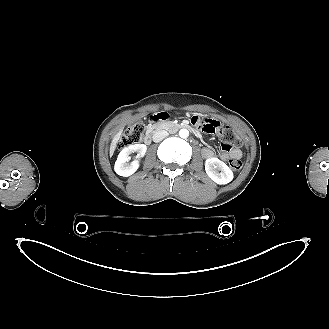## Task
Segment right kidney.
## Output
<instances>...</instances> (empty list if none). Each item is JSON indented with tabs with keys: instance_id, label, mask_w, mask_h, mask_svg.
<instances>
[{
	"instance_id": "right-kidney-1",
	"label": "right kidney",
	"mask_w": 329,
	"mask_h": 329,
	"mask_svg": "<svg viewBox=\"0 0 329 329\" xmlns=\"http://www.w3.org/2000/svg\"><path fill=\"white\" fill-rule=\"evenodd\" d=\"M147 150V146L144 144H134L125 147L118 155L115 162V172L124 177H128L134 174L139 168V159L142 158ZM137 153L136 159L129 163L130 154Z\"/></svg>"
}]
</instances>
